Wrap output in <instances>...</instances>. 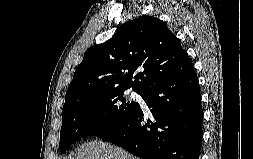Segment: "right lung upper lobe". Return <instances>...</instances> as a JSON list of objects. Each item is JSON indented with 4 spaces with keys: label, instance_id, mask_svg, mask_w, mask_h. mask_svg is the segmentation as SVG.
<instances>
[{
    "label": "right lung upper lobe",
    "instance_id": "cb5924a9",
    "mask_svg": "<svg viewBox=\"0 0 253 159\" xmlns=\"http://www.w3.org/2000/svg\"><path fill=\"white\" fill-rule=\"evenodd\" d=\"M191 70L189 56L166 23L151 16L138 17L123 24L105 43L85 52L67 89L65 104L130 87L143 93Z\"/></svg>",
    "mask_w": 253,
    "mask_h": 159
}]
</instances>
